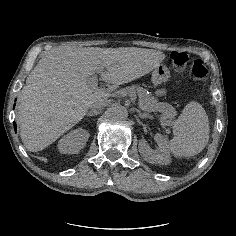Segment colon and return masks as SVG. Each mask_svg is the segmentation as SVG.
Here are the masks:
<instances>
[{"instance_id": "obj_1", "label": "colon", "mask_w": 236, "mask_h": 236, "mask_svg": "<svg viewBox=\"0 0 236 236\" xmlns=\"http://www.w3.org/2000/svg\"><path fill=\"white\" fill-rule=\"evenodd\" d=\"M190 56L187 52L172 51L169 55V61L173 65L174 70L179 71L181 67L189 63ZM207 75V68L204 61L200 58H195L190 68V76L193 80H202Z\"/></svg>"}]
</instances>
